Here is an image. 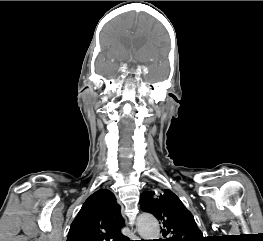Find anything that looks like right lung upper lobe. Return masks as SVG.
<instances>
[{"label":"right lung upper lobe","instance_id":"1","mask_svg":"<svg viewBox=\"0 0 263 241\" xmlns=\"http://www.w3.org/2000/svg\"><path fill=\"white\" fill-rule=\"evenodd\" d=\"M120 210L111 191H96L73 220L67 241H130L120 232L124 224Z\"/></svg>","mask_w":263,"mask_h":241}]
</instances>
